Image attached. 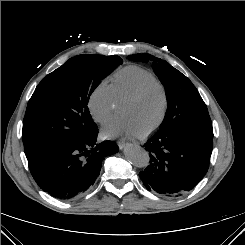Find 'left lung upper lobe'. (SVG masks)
I'll list each match as a JSON object with an SVG mask.
<instances>
[{"mask_svg": "<svg viewBox=\"0 0 245 245\" xmlns=\"http://www.w3.org/2000/svg\"><path fill=\"white\" fill-rule=\"evenodd\" d=\"M135 62H152L155 74L164 85L167 97V112L158 132L169 133L186 128L203 132L213 137L212 122L207 106L192 82L168 62L150 54L128 56Z\"/></svg>", "mask_w": 245, "mask_h": 245, "instance_id": "1", "label": "left lung upper lobe"}]
</instances>
